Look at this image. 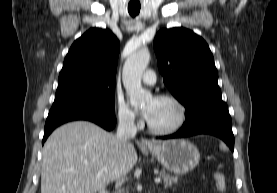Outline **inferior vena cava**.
I'll return each instance as SVG.
<instances>
[{
	"mask_svg": "<svg viewBox=\"0 0 277 193\" xmlns=\"http://www.w3.org/2000/svg\"><path fill=\"white\" fill-rule=\"evenodd\" d=\"M137 132L134 123V116L123 115L119 116V124L117 129V139L122 143H127L131 138H134Z\"/></svg>",
	"mask_w": 277,
	"mask_h": 193,
	"instance_id": "inferior-vena-cava-1",
	"label": "inferior vena cava"
}]
</instances>
